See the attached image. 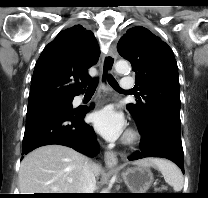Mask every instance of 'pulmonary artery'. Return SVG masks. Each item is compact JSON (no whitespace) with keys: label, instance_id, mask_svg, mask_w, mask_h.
Instances as JSON below:
<instances>
[{"label":"pulmonary artery","instance_id":"1","mask_svg":"<svg viewBox=\"0 0 208 198\" xmlns=\"http://www.w3.org/2000/svg\"><path fill=\"white\" fill-rule=\"evenodd\" d=\"M134 82L133 79L131 77H124L121 80V87L124 90H130L131 88H133Z\"/></svg>","mask_w":208,"mask_h":198}]
</instances>
